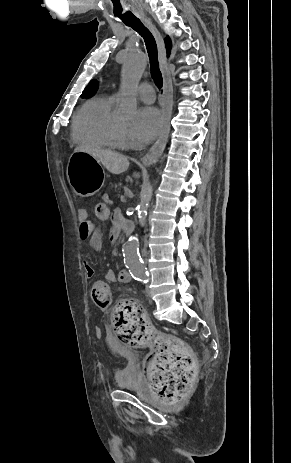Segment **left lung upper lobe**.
<instances>
[{
  "mask_svg": "<svg viewBox=\"0 0 291 463\" xmlns=\"http://www.w3.org/2000/svg\"><path fill=\"white\" fill-rule=\"evenodd\" d=\"M97 88H98L97 80H95V79L91 80L90 83L88 84V86L83 91V94L81 95V97L82 98H88V97L93 96L96 93Z\"/></svg>",
  "mask_w": 291,
  "mask_h": 463,
  "instance_id": "left-lung-upper-lobe-1",
  "label": "left lung upper lobe"
}]
</instances>
